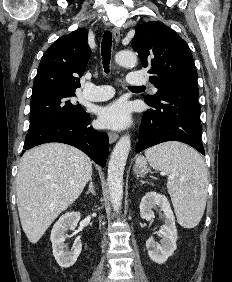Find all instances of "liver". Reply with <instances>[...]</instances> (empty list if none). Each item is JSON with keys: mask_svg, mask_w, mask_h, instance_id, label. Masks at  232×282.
Returning <instances> with one entry per match:
<instances>
[{"mask_svg": "<svg viewBox=\"0 0 232 282\" xmlns=\"http://www.w3.org/2000/svg\"><path fill=\"white\" fill-rule=\"evenodd\" d=\"M91 176L90 158L67 144L47 143L25 152L16 191L21 225L31 243L80 196Z\"/></svg>", "mask_w": 232, "mask_h": 282, "instance_id": "6515ba94", "label": "liver"}]
</instances>
